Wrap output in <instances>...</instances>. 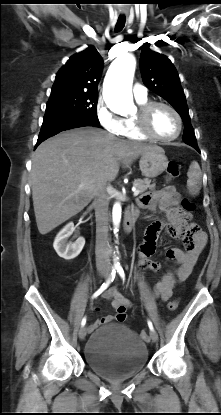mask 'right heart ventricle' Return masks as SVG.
Segmentation results:
<instances>
[{
	"label": "right heart ventricle",
	"mask_w": 221,
	"mask_h": 415,
	"mask_svg": "<svg viewBox=\"0 0 221 415\" xmlns=\"http://www.w3.org/2000/svg\"><path fill=\"white\" fill-rule=\"evenodd\" d=\"M138 104L141 106L148 102V99H136ZM122 136L128 138V139H134V140H145L147 137H145L143 134L140 133V131L137 128L135 117H129L124 119V129L122 132Z\"/></svg>",
	"instance_id": "obj_1"
}]
</instances>
